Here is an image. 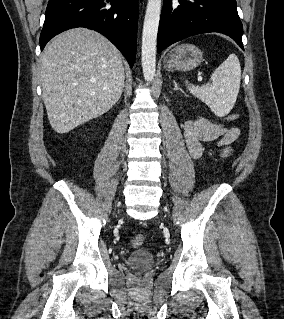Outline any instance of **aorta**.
I'll list each match as a JSON object with an SVG mask.
<instances>
[{
    "label": "aorta",
    "mask_w": 284,
    "mask_h": 319,
    "mask_svg": "<svg viewBox=\"0 0 284 319\" xmlns=\"http://www.w3.org/2000/svg\"><path fill=\"white\" fill-rule=\"evenodd\" d=\"M162 0H148L142 32V70L147 82L156 75V45Z\"/></svg>",
    "instance_id": "aorta-1"
}]
</instances>
